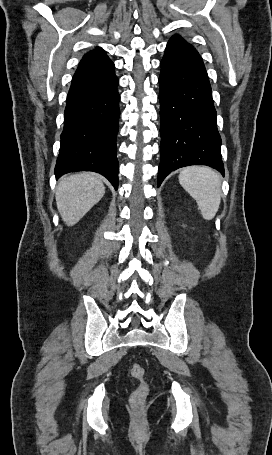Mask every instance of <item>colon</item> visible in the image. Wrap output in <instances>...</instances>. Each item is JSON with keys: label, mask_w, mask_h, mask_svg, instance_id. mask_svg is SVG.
Wrapping results in <instances>:
<instances>
[{"label": "colon", "mask_w": 272, "mask_h": 455, "mask_svg": "<svg viewBox=\"0 0 272 455\" xmlns=\"http://www.w3.org/2000/svg\"><path fill=\"white\" fill-rule=\"evenodd\" d=\"M132 376L140 381L138 388L132 393L130 401L134 408H140L148 395L149 387L145 381L144 368L139 364H133L131 367Z\"/></svg>", "instance_id": "colon-1"}]
</instances>
